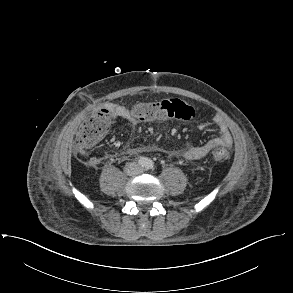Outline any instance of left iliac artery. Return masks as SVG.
<instances>
[{
  "instance_id": "1",
  "label": "left iliac artery",
  "mask_w": 293,
  "mask_h": 293,
  "mask_svg": "<svg viewBox=\"0 0 293 293\" xmlns=\"http://www.w3.org/2000/svg\"><path fill=\"white\" fill-rule=\"evenodd\" d=\"M146 169H152L153 168V162L151 160H147V163L145 165Z\"/></svg>"
}]
</instances>
